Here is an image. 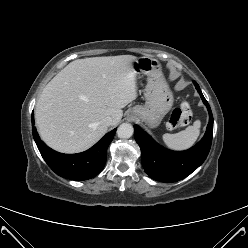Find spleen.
I'll list each match as a JSON object with an SVG mask.
<instances>
[{
	"instance_id": "1",
	"label": "spleen",
	"mask_w": 248,
	"mask_h": 248,
	"mask_svg": "<svg viewBox=\"0 0 248 248\" xmlns=\"http://www.w3.org/2000/svg\"><path fill=\"white\" fill-rule=\"evenodd\" d=\"M201 122L196 120L193 125L188 126L185 130L176 133L163 135L165 145L173 150H185L190 148L196 142L200 134Z\"/></svg>"
}]
</instances>
